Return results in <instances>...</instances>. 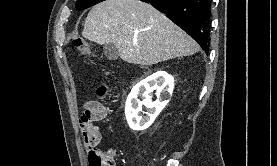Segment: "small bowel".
Returning a JSON list of instances; mask_svg holds the SVG:
<instances>
[{
    "label": "small bowel",
    "instance_id": "obj_1",
    "mask_svg": "<svg viewBox=\"0 0 277 166\" xmlns=\"http://www.w3.org/2000/svg\"><path fill=\"white\" fill-rule=\"evenodd\" d=\"M87 111H89L92 116L91 120H92L93 124L95 121H99L106 116V108L100 102H98L96 100H90L86 103L85 109H84V112L82 115H84ZM99 139H100V134L98 137V141H99ZM98 141H97V143H98ZM86 143L88 145V158L90 161L92 149H91V145L87 141H86Z\"/></svg>",
    "mask_w": 277,
    "mask_h": 166
}]
</instances>
